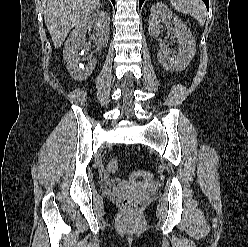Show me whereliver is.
I'll list each match as a JSON object with an SVG mask.
<instances>
[{
  "label": "liver",
  "mask_w": 248,
  "mask_h": 247,
  "mask_svg": "<svg viewBox=\"0 0 248 247\" xmlns=\"http://www.w3.org/2000/svg\"><path fill=\"white\" fill-rule=\"evenodd\" d=\"M100 0H43V15L55 48H59L70 30L89 16Z\"/></svg>",
  "instance_id": "obj_1"
}]
</instances>
